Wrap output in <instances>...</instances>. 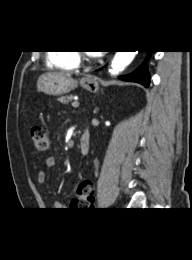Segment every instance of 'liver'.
I'll return each mask as SVG.
<instances>
[{
	"mask_svg": "<svg viewBox=\"0 0 192 260\" xmlns=\"http://www.w3.org/2000/svg\"><path fill=\"white\" fill-rule=\"evenodd\" d=\"M60 74H62V75H67V76H70V74H67V73H60ZM71 77V76H70Z\"/></svg>",
	"mask_w": 192,
	"mask_h": 260,
	"instance_id": "liver-1",
	"label": "liver"
}]
</instances>
